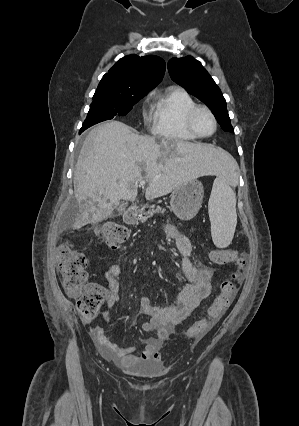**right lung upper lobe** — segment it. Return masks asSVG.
Listing matches in <instances>:
<instances>
[{"mask_svg": "<svg viewBox=\"0 0 299 426\" xmlns=\"http://www.w3.org/2000/svg\"><path fill=\"white\" fill-rule=\"evenodd\" d=\"M165 62L158 56L129 55L120 59L101 79L98 88L126 95L149 92L162 80Z\"/></svg>", "mask_w": 299, "mask_h": 426, "instance_id": "obj_1", "label": "right lung upper lobe"}]
</instances>
